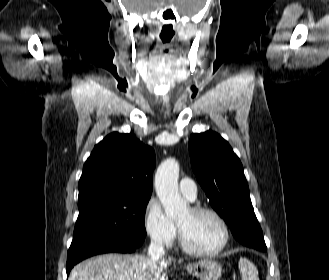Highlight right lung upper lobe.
Instances as JSON below:
<instances>
[{"label":"right lung upper lobe","mask_w":329,"mask_h":280,"mask_svg":"<svg viewBox=\"0 0 329 280\" xmlns=\"http://www.w3.org/2000/svg\"><path fill=\"white\" fill-rule=\"evenodd\" d=\"M154 150L130 134L113 132L98 143L84 164L78 201L151 196Z\"/></svg>","instance_id":"right-lung-upper-lobe-1"}]
</instances>
